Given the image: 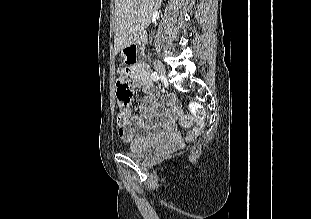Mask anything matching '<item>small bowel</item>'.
Listing matches in <instances>:
<instances>
[{
  "mask_svg": "<svg viewBox=\"0 0 311 219\" xmlns=\"http://www.w3.org/2000/svg\"><path fill=\"white\" fill-rule=\"evenodd\" d=\"M123 71L132 79L136 87L147 94L146 100L139 106V118L134 117L129 108L121 109L117 115L119 135L124 141L146 137L153 131L168 141H176L179 138L176 122L185 128L195 125L189 134H193L202 126L197 117L182 114L179 102L173 95L168 94L163 100L160 99V94L149 76L144 61L136 62Z\"/></svg>",
  "mask_w": 311,
  "mask_h": 219,
  "instance_id": "obj_1",
  "label": "small bowel"
}]
</instances>
